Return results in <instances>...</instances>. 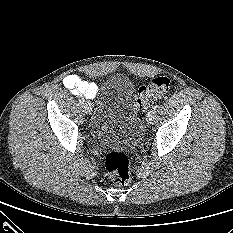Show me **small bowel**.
Here are the masks:
<instances>
[{"mask_svg":"<svg viewBox=\"0 0 233 233\" xmlns=\"http://www.w3.org/2000/svg\"><path fill=\"white\" fill-rule=\"evenodd\" d=\"M63 85L74 95L84 96L89 99H93L98 92V86L95 83L85 81L76 74L67 75L63 79Z\"/></svg>","mask_w":233,"mask_h":233,"instance_id":"c3829d8e","label":"small bowel"}]
</instances>
